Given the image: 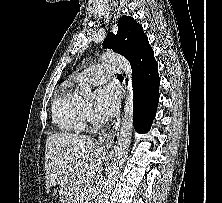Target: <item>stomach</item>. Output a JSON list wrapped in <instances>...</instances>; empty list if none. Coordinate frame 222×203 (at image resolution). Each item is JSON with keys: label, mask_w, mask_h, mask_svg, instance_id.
Masks as SVG:
<instances>
[{"label": "stomach", "mask_w": 222, "mask_h": 203, "mask_svg": "<svg viewBox=\"0 0 222 203\" xmlns=\"http://www.w3.org/2000/svg\"><path fill=\"white\" fill-rule=\"evenodd\" d=\"M64 198V203H71L70 201H71V199H69L68 197H63Z\"/></svg>", "instance_id": "0dacf381"}]
</instances>
